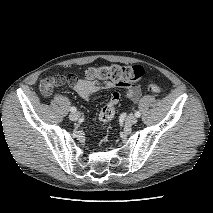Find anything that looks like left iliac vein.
<instances>
[{
  "mask_svg": "<svg viewBox=\"0 0 213 213\" xmlns=\"http://www.w3.org/2000/svg\"><path fill=\"white\" fill-rule=\"evenodd\" d=\"M136 122H137V118H136L135 115L130 114V115L127 116V118H126V123H127L128 125H133V124H135Z\"/></svg>",
  "mask_w": 213,
  "mask_h": 213,
  "instance_id": "obj_1",
  "label": "left iliac vein"
}]
</instances>
